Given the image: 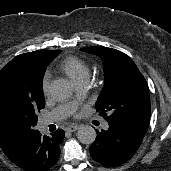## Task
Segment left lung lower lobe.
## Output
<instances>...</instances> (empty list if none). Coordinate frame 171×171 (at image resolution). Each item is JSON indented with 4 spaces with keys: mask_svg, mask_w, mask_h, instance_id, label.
I'll use <instances>...</instances> for the list:
<instances>
[{
    "mask_svg": "<svg viewBox=\"0 0 171 171\" xmlns=\"http://www.w3.org/2000/svg\"><path fill=\"white\" fill-rule=\"evenodd\" d=\"M108 124V130L97 131L90 154L103 165H121L134 155L146 133L118 123Z\"/></svg>",
    "mask_w": 171,
    "mask_h": 171,
    "instance_id": "obj_1",
    "label": "left lung lower lobe"
}]
</instances>
